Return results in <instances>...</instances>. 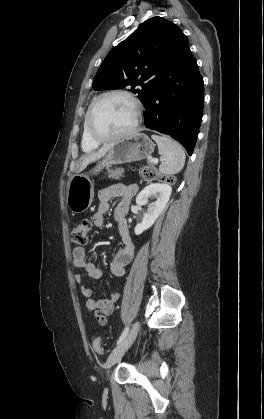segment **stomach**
Listing matches in <instances>:
<instances>
[{
  "instance_id": "0dacf381",
  "label": "stomach",
  "mask_w": 264,
  "mask_h": 419,
  "mask_svg": "<svg viewBox=\"0 0 264 419\" xmlns=\"http://www.w3.org/2000/svg\"><path fill=\"white\" fill-rule=\"evenodd\" d=\"M154 143L143 133H135L129 138H125L112 143V147L98 162L91 174H97L103 168H108L115 164L132 161H139L151 156L154 151ZM94 185L89 174H76L68 184L67 206L73 213L86 211L93 202Z\"/></svg>"
}]
</instances>
